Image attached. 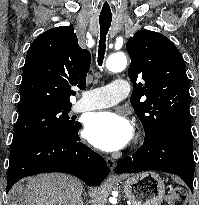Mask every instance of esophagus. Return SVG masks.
<instances>
[{
	"label": "esophagus",
	"instance_id": "34e87169",
	"mask_svg": "<svg viewBox=\"0 0 199 205\" xmlns=\"http://www.w3.org/2000/svg\"><path fill=\"white\" fill-rule=\"evenodd\" d=\"M106 163H107L109 169L111 170V172H113V170L115 168V161H114V159H112L110 157H107L106 158Z\"/></svg>",
	"mask_w": 199,
	"mask_h": 205
}]
</instances>
